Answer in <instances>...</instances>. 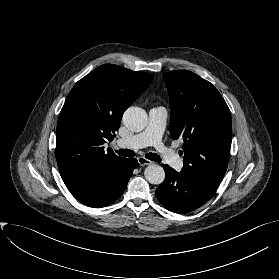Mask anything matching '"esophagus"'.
<instances>
[{
  "label": "esophagus",
  "instance_id": "34e87169",
  "mask_svg": "<svg viewBox=\"0 0 279 279\" xmlns=\"http://www.w3.org/2000/svg\"><path fill=\"white\" fill-rule=\"evenodd\" d=\"M139 165L141 166H146V165H150L152 162L144 157H138L137 158Z\"/></svg>",
  "mask_w": 279,
  "mask_h": 279
}]
</instances>
